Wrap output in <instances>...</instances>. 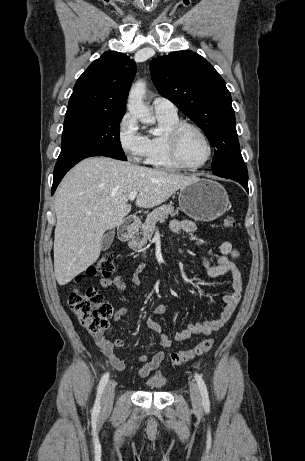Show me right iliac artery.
I'll return each mask as SVG.
<instances>
[{
    "label": "right iliac artery",
    "mask_w": 305,
    "mask_h": 461,
    "mask_svg": "<svg viewBox=\"0 0 305 461\" xmlns=\"http://www.w3.org/2000/svg\"><path fill=\"white\" fill-rule=\"evenodd\" d=\"M108 379H109V373H105L103 375V377L101 378L100 380V383H99V386H98V391H97V397H96V400H95V404H94V407H93V414L94 415H97L100 411V408H101V397H102V393L104 391V388L108 382Z\"/></svg>",
    "instance_id": "right-iliac-artery-1"
}]
</instances>
